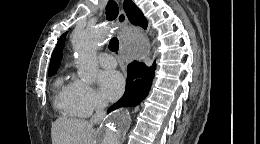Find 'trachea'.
I'll return each mask as SVG.
<instances>
[{
	"label": "trachea",
	"instance_id": "trachea-1",
	"mask_svg": "<svg viewBox=\"0 0 260 144\" xmlns=\"http://www.w3.org/2000/svg\"><path fill=\"white\" fill-rule=\"evenodd\" d=\"M119 13L118 5L115 1H109L106 5V17L108 21L116 19ZM119 48V41L116 37H113L109 43V49L112 52H117Z\"/></svg>",
	"mask_w": 260,
	"mask_h": 144
}]
</instances>
